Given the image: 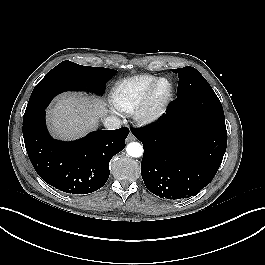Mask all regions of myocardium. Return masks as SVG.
<instances>
[{"label": "myocardium", "instance_id": "f54148a6", "mask_svg": "<svg viewBox=\"0 0 265 265\" xmlns=\"http://www.w3.org/2000/svg\"><path fill=\"white\" fill-rule=\"evenodd\" d=\"M167 81L168 92L160 99L156 98V90L160 82ZM174 95L173 82L164 76L157 77L147 89L142 100L133 111L135 121L143 126L150 125L160 119L167 111Z\"/></svg>", "mask_w": 265, "mask_h": 265}]
</instances>
